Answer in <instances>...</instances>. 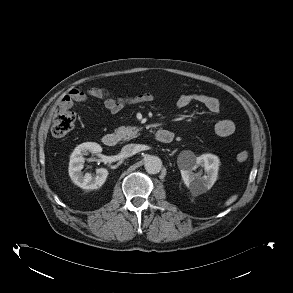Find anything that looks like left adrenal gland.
I'll list each match as a JSON object with an SVG mask.
<instances>
[{"label": "left adrenal gland", "mask_w": 293, "mask_h": 293, "mask_svg": "<svg viewBox=\"0 0 293 293\" xmlns=\"http://www.w3.org/2000/svg\"><path fill=\"white\" fill-rule=\"evenodd\" d=\"M175 151H176V150H175ZM175 151H173V152H172V154H174V153H175Z\"/></svg>", "instance_id": "1"}]
</instances>
